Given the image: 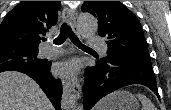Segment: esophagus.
Listing matches in <instances>:
<instances>
[{
  "label": "esophagus",
  "mask_w": 171,
  "mask_h": 110,
  "mask_svg": "<svg viewBox=\"0 0 171 110\" xmlns=\"http://www.w3.org/2000/svg\"><path fill=\"white\" fill-rule=\"evenodd\" d=\"M63 19L68 22L75 33H78L76 16L74 13H70L66 7L63 12ZM80 95V85L75 80H67L63 82V95L61 105L64 109L71 108Z\"/></svg>",
  "instance_id": "esophagus-1"
}]
</instances>
